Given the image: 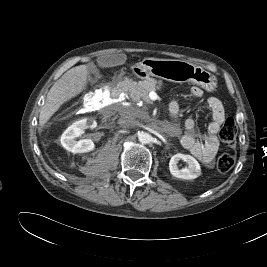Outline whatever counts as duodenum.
<instances>
[{
  "label": "duodenum",
  "mask_w": 267,
  "mask_h": 267,
  "mask_svg": "<svg viewBox=\"0 0 267 267\" xmlns=\"http://www.w3.org/2000/svg\"><path fill=\"white\" fill-rule=\"evenodd\" d=\"M130 82H131L130 79H125V80L121 81L119 83V85L114 86L113 89H112L113 96L116 97V98L123 97L124 94H126L128 89H129ZM170 113L172 115H175V113L173 111H171V110H170Z\"/></svg>",
  "instance_id": "obj_1"
}]
</instances>
